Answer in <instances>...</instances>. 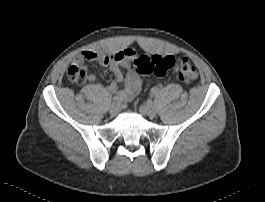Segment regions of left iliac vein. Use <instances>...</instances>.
Wrapping results in <instances>:
<instances>
[{"mask_svg": "<svg viewBox=\"0 0 265 202\" xmlns=\"http://www.w3.org/2000/svg\"><path fill=\"white\" fill-rule=\"evenodd\" d=\"M139 111L140 113L147 115L150 118H154L156 116V109L151 101L142 104L139 107Z\"/></svg>", "mask_w": 265, "mask_h": 202, "instance_id": "left-iliac-vein-1", "label": "left iliac vein"}]
</instances>
